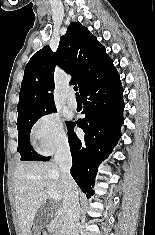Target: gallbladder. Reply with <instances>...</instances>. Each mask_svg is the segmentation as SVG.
Segmentation results:
<instances>
[{"label": "gallbladder", "mask_w": 155, "mask_h": 235, "mask_svg": "<svg viewBox=\"0 0 155 235\" xmlns=\"http://www.w3.org/2000/svg\"><path fill=\"white\" fill-rule=\"evenodd\" d=\"M57 207L52 203H46L38 210L35 217V224L37 227L46 226L55 216Z\"/></svg>", "instance_id": "obj_1"}]
</instances>
